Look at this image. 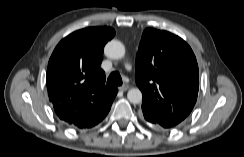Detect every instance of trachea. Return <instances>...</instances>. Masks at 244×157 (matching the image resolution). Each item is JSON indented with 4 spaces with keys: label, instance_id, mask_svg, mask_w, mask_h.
Masks as SVG:
<instances>
[{
    "label": "trachea",
    "instance_id": "3493384b",
    "mask_svg": "<svg viewBox=\"0 0 244 157\" xmlns=\"http://www.w3.org/2000/svg\"><path fill=\"white\" fill-rule=\"evenodd\" d=\"M107 84L111 85V86L122 85V78H121L119 72H112L107 79Z\"/></svg>",
    "mask_w": 244,
    "mask_h": 157
}]
</instances>
